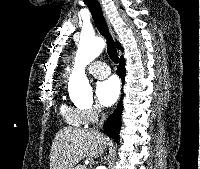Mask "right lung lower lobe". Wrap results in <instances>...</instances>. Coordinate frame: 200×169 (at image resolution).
<instances>
[{
  "label": "right lung lower lobe",
  "mask_w": 200,
  "mask_h": 169,
  "mask_svg": "<svg viewBox=\"0 0 200 169\" xmlns=\"http://www.w3.org/2000/svg\"><path fill=\"white\" fill-rule=\"evenodd\" d=\"M125 67H124V59L121 57V63L117 68V74L121 78V80H124L125 77ZM122 101H120V104L117 106L116 110L109 116L106 123L103 126L104 132L109 137L113 138L114 140L119 139V130L121 128V113H122Z\"/></svg>",
  "instance_id": "obj_1"
}]
</instances>
